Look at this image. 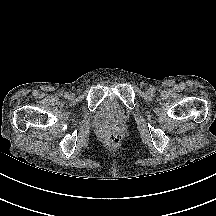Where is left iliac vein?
Segmentation results:
<instances>
[{
  "mask_svg": "<svg viewBox=\"0 0 216 216\" xmlns=\"http://www.w3.org/2000/svg\"><path fill=\"white\" fill-rule=\"evenodd\" d=\"M146 94H147V95H151V94H152V87H150V88H148V89L146 90Z\"/></svg>",
  "mask_w": 216,
  "mask_h": 216,
  "instance_id": "left-iliac-vein-1",
  "label": "left iliac vein"
}]
</instances>
